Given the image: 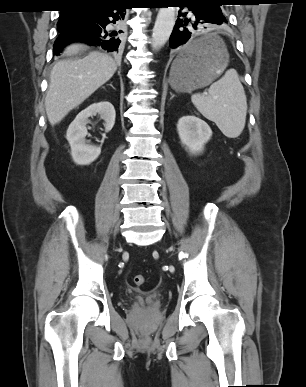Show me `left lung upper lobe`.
Wrapping results in <instances>:
<instances>
[{
  "label": "left lung upper lobe",
  "instance_id": "1",
  "mask_svg": "<svg viewBox=\"0 0 306 387\" xmlns=\"http://www.w3.org/2000/svg\"><path fill=\"white\" fill-rule=\"evenodd\" d=\"M196 1H201V2H215V3H218L220 5H222V2L224 0H196Z\"/></svg>",
  "mask_w": 306,
  "mask_h": 387
}]
</instances>
